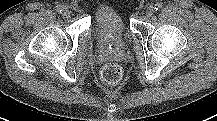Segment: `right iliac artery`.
Returning a JSON list of instances; mask_svg holds the SVG:
<instances>
[{
	"label": "right iliac artery",
	"mask_w": 217,
	"mask_h": 121,
	"mask_svg": "<svg viewBox=\"0 0 217 121\" xmlns=\"http://www.w3.org/2000/svg\"><path fill=\"white\" fill-rule=\"evenodd\" d=\"M56 11L59 12V13H61L63 11V6L57 5L56 6Z\"/></svg>",
	"instance_id": "right-iliac-artery-1"
}]
</instances>
